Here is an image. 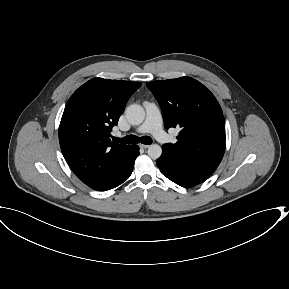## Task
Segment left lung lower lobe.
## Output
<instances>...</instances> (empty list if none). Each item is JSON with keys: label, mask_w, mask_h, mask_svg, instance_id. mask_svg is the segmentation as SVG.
Wrapping results in <instances>:
<instances>
[{"label": "left lung lower lobe", "mask_w": 289, "mask_h": 289, "mask_svg": "<svg viewBox=\"0 0 289 289\" xmlns=\"http://www.w3.org/2000/svg\"><path fill=\"white\" fill-rule=\"evenodd\" d=\"M157 166L164 176L183 187L202 183L217 167L196 160L179 159L164 151L157 160Z\"/></svg>", "instance_id": "left-lung-lower-lobe-1"}]
</instances>
